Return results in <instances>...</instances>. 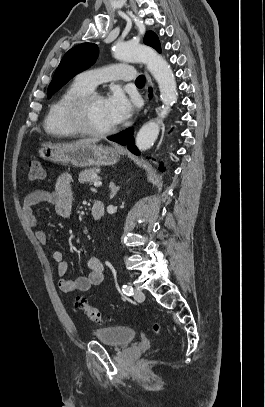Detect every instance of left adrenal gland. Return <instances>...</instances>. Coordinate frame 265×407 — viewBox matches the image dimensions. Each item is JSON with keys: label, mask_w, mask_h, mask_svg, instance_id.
<instances>
[{"label": "left adrenal gland", "mask_w": 265, "mask_h": 407, "mask_svg": "<svg viewBox=\"0 0 265 407\" xmlns=\"http://www.w3.org/2000/svg\"><path fill=\"white\" fill-rule=\"evenodd\" d=\"M109 188L111 190L110 198L112 199L116 195L120 187H116L115 184L111 182Z\"/></svg>", "instance_id": "a2214340"}]
</instances>
